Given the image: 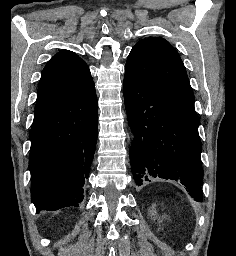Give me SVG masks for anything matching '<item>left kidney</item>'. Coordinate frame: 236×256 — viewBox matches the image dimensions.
<instances>
[{
  "instance_id": "5707ae66",
  "label": "left kidney",
  "mask_w": 236,
  "mask_h": 256,
  "mask_svg": "<svg viewBox=\"0 0 236 256\" xmlns=\"http://www.w3.org/2000/svg\"><path fill=\"white\" fill-rule=\"evenodd\" d=\"M156 212H157L156 206H152V208H150V214H151V216H157Z\"/></svg>"
}]
</instances>
